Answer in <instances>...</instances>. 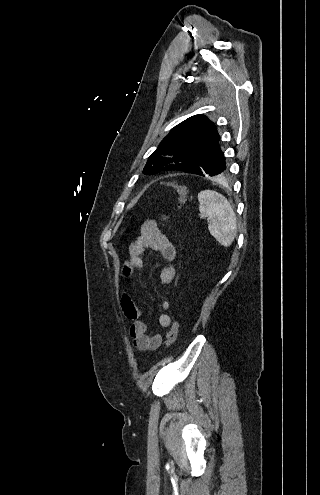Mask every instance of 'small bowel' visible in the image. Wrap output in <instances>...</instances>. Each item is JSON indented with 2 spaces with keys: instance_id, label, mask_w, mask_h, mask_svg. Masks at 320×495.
I'll return each mask as SVG.
<instances>
[{
  "instance_id": "small-bowel-1",
  "label": "small bowel",
  "mask_w": 320,
  "mask_h": 495,
  "mask_svg": "<svg viewBox=\"0 0 320 495\" xmlns=\"http://www.w3.org/2000/svg\"><path fill=\"white\" fill-rule=\"evenodd\" d=\"M151 250L161 254L165 264L160 272L162 284L170 283L175 276L173 261L177 255V249L173 241L167 237L159 228L156 220L149 219L141 226L140 235L135 238L129 247L130 258L125 265L124 273L129 274L131 270H142L145 267V251ZM121 306L125 316L131 321L130 336L133 345L140 351H155L162 343L160 334H150L149 325L144 320V312L133 300L124 296ZM163 309L169 308L167 300L162 303ZM161 327L167 328L172 324L171 317L166 313L158 316Z\"/></svg>"
}]
</instances>
